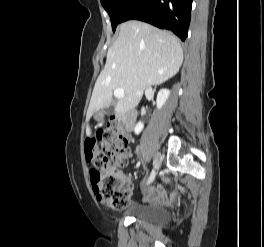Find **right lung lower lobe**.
<instances>
[{
    "label": "right lung lower lobe",
    "instance_id": "obj_1",
    "mask_svg": "<svg viewBox=\"0 0 264 247\" xmlns=\"http://www.w3.org/2000/svg\"><path fill=\"white\" fill-rule=\"evenodd\" d=\"M192 0H134L123 21L141 20L171 30L185 41L190 23Z\"/></svg>",
    "mask_w": 264,
    "mask_h": 247
}]
</instances>
